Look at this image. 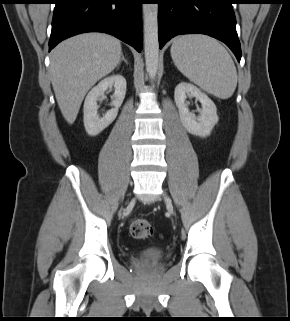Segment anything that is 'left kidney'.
<instances>
[{"label": "left kidney", "mask_w": 290, "mask_h": 321, "mask_svg": "<svg viewBox=\"0 0 290 321\" xmlns=\"http://www.w3.org/2000/svg\"><path fill=\"white\" fill-rule=\"evenodd\" d=\"M187 96L195 97L200 101L202 109L199 116L189 111L186 104ZM174 99L185 129L192 135L209 136L218 122L217 109L213 101L194 85L184 82L176 86Z\"/></svg>", "instance_id": "5707ae66"}]
</instances>
